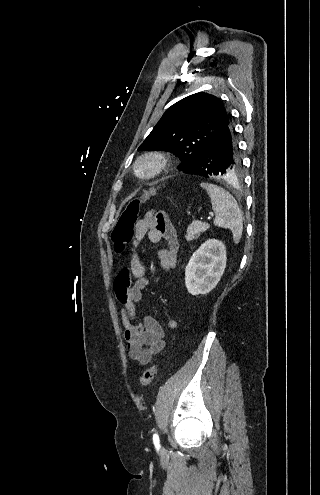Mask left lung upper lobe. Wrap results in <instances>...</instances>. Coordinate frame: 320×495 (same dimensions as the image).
<instances>
[{
  "mask_svg": "<svg viewBox=\"0 0 320 495\" xmlns=\"http://www.w3.org/2000/svg\"><path fill=\"white\" fill-rule=\"evenodd\" d=\"M229 120L217 97L196 93L168 108L138 150L173 152L181 160L179 170L184 171Z\"/></svg>",
  "mask_w": 320,
  "mask_h": 495,
  "instance_id": "5c2ea615",
  "label": "left lung upper lobe"
}]
</instances>
